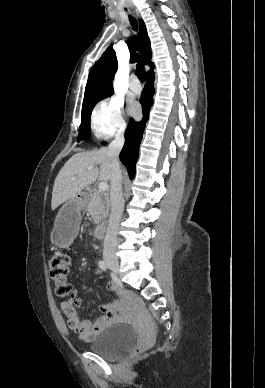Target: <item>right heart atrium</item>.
<instances>
[{
    "label": "right heart atrium",
    "mask_w": 265,
    "mask_h": 388,
    "mask_svg": "<svg viewBox=\"0 0 265 388\" xmlns=\"http://www.w3.org/2000/svg\"><path fill=\"white\" fill-rule=\"evenodd\" d=\"M123 104L117 98H108L101 101L94 110L93 123L97 135L107 138L116 128L123 124Z\"/></svg>",
    "instance_id": "1"
}]
</instances>
